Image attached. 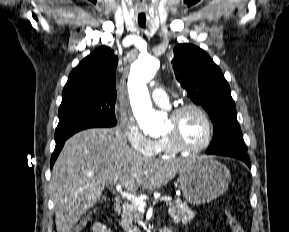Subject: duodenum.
<instances>
[{"instance_id":"410a0bca","label":"duodenum","mask_w":289,"mask_h":232,"mask_svg":"<svg viewBox=\"0 0 289 232\" xmlns=\"http://www.w3.org/2000/svg\"><path fill=\"white\" fill-rule=\"evenodd\" d=\"M124 207V203L121 199H117L114 203V210L117 213H120L123 210ZM160 232H168V230L166 228L161 229Z\"/></svg>"}]
</instances>
